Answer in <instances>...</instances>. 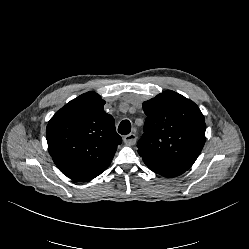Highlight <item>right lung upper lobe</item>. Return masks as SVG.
Here are the masks:
<instances>
[{
    "instance_id": "cb5924a9",
    "label": "right lung upper lobe",
    "mask_w": 249,
    "mask_h": 249,
    "mask_svg": "<svg viewBox=\"0 0 249 249\" xmlns=\"http://www.w3.org/2000/svg\"><path fill=\"white\" fill-rule=\"evenodd\" d=\"M105 101L87 92L62 107L50 119L48 151L59 170L76 181H89L111 163L122 139Z\"/></svg>"
}]
</instances>
